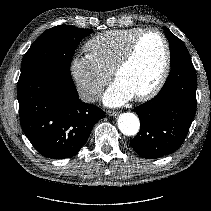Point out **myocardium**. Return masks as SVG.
I'll return each instance as SVG.
<instances>
[{
    "instance_id": "1",
    "label": "myocardium",
    "mask_w": 211,
    "mask_h": 211,
    "mask_svg": "<svg viewBox=\"0 0 211 211\" xmlns=\"http://www.w3.org/2000/svg\"><path fill=\"white\" fill-rule=\"evenodd\" d=\"M148 33H155L161 38L163 45H164V52H165L164 63H163L161 73H160L157 81L155 82V84L148 91L134 96V98L137 101H148V100L154 98L160 92V90L163 88V86L168 78V75L170 72V66H171V50H170V45H169L168 39L166 38L164 33L157 28L142 29L133 38V40L131 41L130 45L128 46L126 52L123 54V56L117 62V64L115 65V67L113 68L112 73H111L112 77L116 80L118 75L131 63V61L133 60V58L135 57V54L137 52V48H138L140 40L142 39V37L144 35H146Z\"/></svg>"
}]
</instances>
